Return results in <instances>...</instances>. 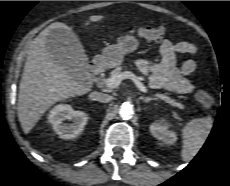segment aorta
<instances>
[{
	"label": "aorta",
	"mask_w": 230,
	"mask_h": 186,
	"mask_svg": "<svg viewBox=\"0 0 230 186\" xmlns=\"http://www.w3.org/2000/svg\"><path fill=\"white\" fill-rule=\"evenodd\" d=\"M134 114L133 106L129 103H123L119 109V115L122 119L128 120Z\"/></svg>",
	"instance_id": "762f6f07"
}]
</instances>
